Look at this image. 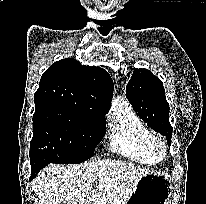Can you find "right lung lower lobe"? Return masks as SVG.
I'll list each match as a JSON object with an SVG mask.
<instances>
[{
    "label": "right lung lower lobe",
    "instance_id": "1",
    "mask_svg": "<svg viewBox=\"0 0 206 204\" xmlns=\"http://www.w3.org/2000/svg\"><path fill=\"white\" fill-rule=\"evenodd\" d=\"M46 165H48V164L45 163V162L35 163V162L31 161V177H30V180H32L39 173V171Z\"/></svg>",
    "mask_w": 206,
    "mask_h": 204
}]
</instances>
